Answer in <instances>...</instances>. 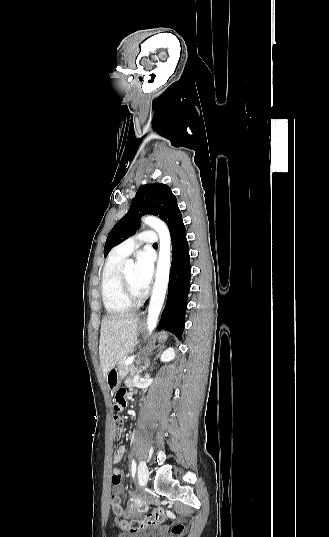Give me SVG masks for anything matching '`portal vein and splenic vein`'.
Here are the masks:
<instances>
[{
	"instance_id": "portal-vein-and-splenic-vein-1",
	"label": "portal vein and splenic vein",
	"mask_w": 329,
	"mask_h": 537,
	"mask_svg": "<svg viewBox=\"0 0 329 537\" xmlns=\"http://www.w3.org/2000/svg\"><path fill=\"white\" fill-rule=\"evenodd\" d=\"M135 360V357L134 356H131L129 357L127 360H126V365H131Z\"/></svg>"
}]
</instances>
